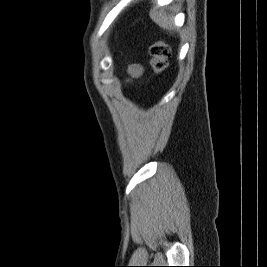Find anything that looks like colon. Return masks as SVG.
Masks as SVG:
<instances>
[{
	"mask_svg": "<svg viewBox=\"0 0 267 267\" xmlns=\"http://www.w3.org/2000/svg\"><path fill=\"white\" fill-rule=\"evenodd\" d=\"M151 57V66L156 74H161L167 69L171 55L170 46L162 41L157 40L149 47Z\"/></svg>",
	"mask_w": 267,
	"mask_h": 267,
	"instance_id": "5ec220e1",
	"label": "colon"
}]
</instances>
